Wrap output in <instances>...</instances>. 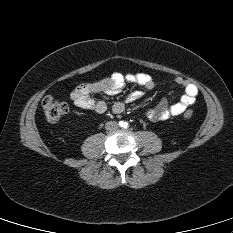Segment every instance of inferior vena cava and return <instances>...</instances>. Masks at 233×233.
<instances>
[{"instance_id": "1", "label": "inferior vena cava", "mask_w": 233, "mask_h": 233, "mask_svg": "<svg viewBox=\"0 0 233 233\" xmlns=\"http://www.w3.org/2000/svg\"><path fill=\"white\" fill-rule=\"evenodd\" d=\"M105 128L107 130H114L118 128V124L115 121H109L105 124Z\"/></svg>"}]
</instances>
